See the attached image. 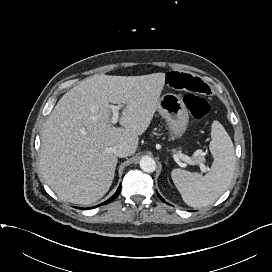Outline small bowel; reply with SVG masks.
Returning a JSON list of instances; mask_svg holds the SVG:
<instances>
[{"label":"small bowel","mask_w":272,"mask_h":272,"mask_svg":"<svg viewBox=\"0 0 272 272\" xmlns=\"http://www.w3.org/2000/svg\"><path fill=\"white\" fill-rule=\"evenodd\" d=\"M165 83L169 87L187 94L207 96L212 92L211 87L203 79L185 72H168L165 76Z\"/></svg>","instance_id":"1"}]
</instances>
